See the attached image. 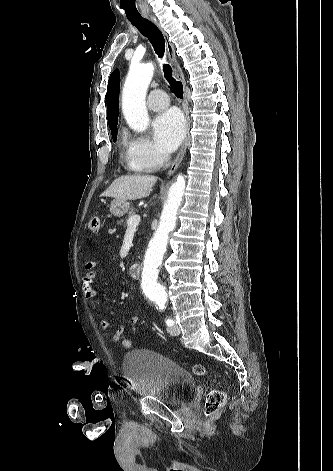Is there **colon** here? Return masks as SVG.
<instances>
[{
	"instance_id": "colon-1",
	"label": "colon",
	"mask_w": 333,
	"mask_h": 471,
	"mask_svg": "<svg viewBox=\"0 0 333 471\" xmlns=\"http://www.w3.org/2000/svg\"><path fill=\"white\" fill-rule=\"evenodd\" d=\"M88 228L91 231H98L100 228V219L98 216H93L88 222ZM122 347L130 348L132 346V341L128 338H122L120 341ZM192 372L197 376H207L208 372L204 365L194 364L191 366ZM226 401L225 393L219 389L211 390L205 400L204 413L206 418H210L214 415Z\"/></svg>"
}]
</instances>
